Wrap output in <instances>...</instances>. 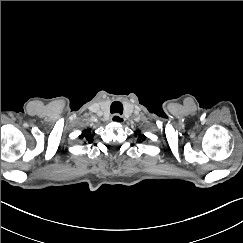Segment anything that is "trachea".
<instances>
[{
    "label": "trachea",
    "mask_w": 243,
    "mask_h": 243,
    "mask_svg": "<svg viewBox=\"0 0 243 243\" xmlns=\"http://www.w3.org/2000/svg\"><path fill=\"white\" fill-rule=\"evenodd\" d=\"M110 111L111 113H119L122 114L123 113V105L121 102L119 101H115L111 104L110 106Z\"/></svg>",
    "instance_id": "1"
}]
</instances>
